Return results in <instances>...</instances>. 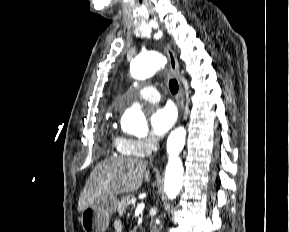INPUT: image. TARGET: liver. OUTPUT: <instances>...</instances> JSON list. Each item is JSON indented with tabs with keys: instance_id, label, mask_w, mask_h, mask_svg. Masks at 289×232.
<instances>
[{
	"instance_id": "6515ba94",
	"label": "liver",
	"mask_w": 289,
	"mask_h": 232,
	"mask_svg": "<svg viewBox=\"0 0 289 232\" xmlns=\"http://www.w3.org/2000/svg\"><path fill=\"white\" fill-rule=\"evenodd\" d=\"M143 180L150 181L146 161L137 158L105 159L90 173L79 197L78 211L118 194L134 192L141 187Z\"/></svg>"
}]
</instances>
